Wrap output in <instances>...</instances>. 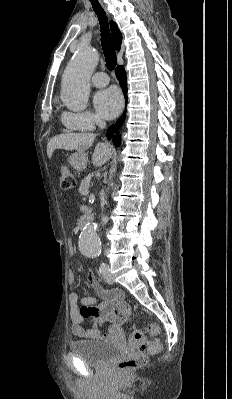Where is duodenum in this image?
<instances>
[{
	"label": "duodenum",
	"mask_w": 232,
	"mask_h": 399,
	"mask_svg": "<svg viewBox=\"0 0 232 399\" xmlns=\"http://www.w3.org/2000/svg\"><path fill=\"white\" fill-rule=\"evenodd\" d=\"M79 224H80V227H81V228H83L84 226H86V224H87V218H86V217L81 218Z\"/></svg>",
	"instance_id": "1"
}]
</instances>
